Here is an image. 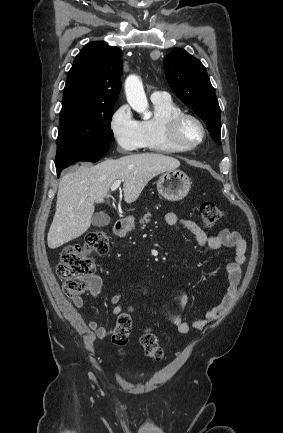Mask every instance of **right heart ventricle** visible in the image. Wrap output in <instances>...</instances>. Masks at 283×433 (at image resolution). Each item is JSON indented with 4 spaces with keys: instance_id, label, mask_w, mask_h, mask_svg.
Returning a JSON list of instances; mask_svg holds the SVG:
<instances>
[{
    "instance_id": "e07e8e85",
    "label": "right heart ventricle",
    "mask_w": 283,
    "mask_h": 433,
    "mask_svg": "<svg viewBox=\"0 0 283 433\" xmlns=\"http://www.w3.org/2000/svg\"><path fill=\"white\" fill-rule=\"evenodd\" d=\"M153 110V117L141 122L146 143L157 146V151L163 153L177 152L167 139V126L170 118L183 110L169 98L153 102Z\"/></svg>"
}]
</instances>
